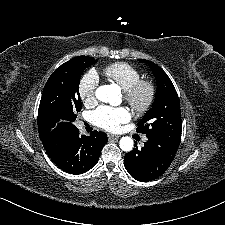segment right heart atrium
<instances>
[{"label": "right heart atrium", "mask_w": 225, "mask_h": 225, "mask_svg": "<svg viewBox=\"0 0 225 225\" xmlns=\"http://www.w3.org/2000/svg\"><path fill=\"white\" fill-rule=\"evenodd\" d=\"M99 77L96 71L89 70L83 74L78 86L80 99L87 106H92L97 102V89Z\"/></svg>", "instance_id": "obj_1"}]
</instances>
